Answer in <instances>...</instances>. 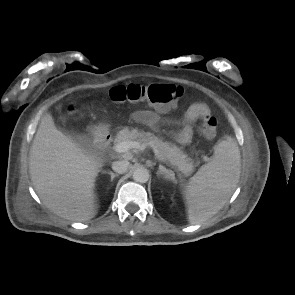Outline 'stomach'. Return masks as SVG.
Listing matches in <instances>:
<instances>
[{
	"instance_id": "1",
	"label": "stomach",
	"mask_w": 295,
	"mask_h": 295,
	"mask_svg": "<svg viewBox=\"0 0 295 295\" xmlns=\"http://www.w3.org/2000/svg\"><path fill=\"white\" fill-rule=\"evenodd\" d=\"M102 128H103V129H106V126H103Z\"/></svg>"
}]
</instances>
